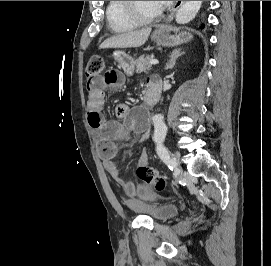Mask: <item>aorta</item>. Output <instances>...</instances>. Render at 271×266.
<instances>
[{
    "label": "aorta",
    "instance_id": "1",
    "mask_svg": "<svg viewBox=\"0 0 271 266\" xmlns=\"http://www.w3.org/2000/svg\"><path fill=\"white\" fill-rule=\"evenodd\" d=\"M203 1H186L177 11L175 20L178 24L190 22L200 10ZM154 139L162 140L166 136L167 127L161 114L154 116Z\"/></svg>",
    "mask_w": 271,
    "mask_h": 266
}]
</instances>
